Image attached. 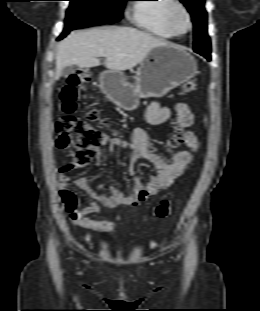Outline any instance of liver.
<instances>
[{"label":"liver","mask_w":260,"mask_h":311,"mask_svg":"<svg viewBox=\"0 0 260 311\" xmlns=\"http://www.w3.org/2000/svg\"><path fill=\"white\" fill-rule=\"evenodd\" d=\"M169 44L151 34L131 27L93 28L71 33L57 47L56 76L63 68L77 65L90 68L105 57L110 70L124 71L141 63L155 47Z\"/></svg>","instance_id":"liver-1"}]
</instances>
